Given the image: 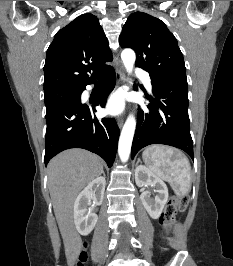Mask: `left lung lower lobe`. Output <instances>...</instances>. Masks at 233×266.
Returning <instances> with one entry per match:
<instances>
[{
    "instance_id": "1",
    "label": "left lung lower lobe",
    "mask_w": 233,
    "mask_h": 266,
    "mask_svg": "<svg viewBox=\"0 0 233 266\" xmlns=\"http://www.w3.org/2000/svg\"><path fill=\"white\" fill-rule=\"evenodd\" d=\"M153 97L140 119L132 143V159L143 147L165 144L184 150L193 160L189 130L188 84L186 78L171 77L152 81Z\"/></svg>"
}]
</instances>
